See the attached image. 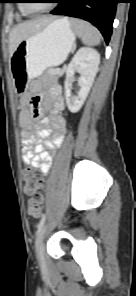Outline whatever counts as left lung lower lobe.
<instances>
[{
    "label": "left lung lower lobe",
    "instance_id": "1",
    "mask_svg": "<svg viewBox=\"0 0 136 296\" xmlns=\"http://www.w3.org/2000/svg\"><path fill=\"white\" fill-rule=\"evenodd\" d=\"M50 13L81 18L95 25L108 44L112 34L116 5L119 0H60Z\"/></svg>",
    "mask_w": 136,
    "mask_h": 296
}]
</instances>
